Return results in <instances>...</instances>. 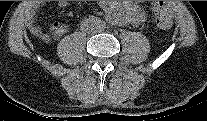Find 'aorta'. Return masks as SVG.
<instances>
[{"label": "aorta", "mask_w": 207, "mask_h": 121, "mask_svg": "<svg viewBox=\"0 0 207 121\" xmlns=\"http://www.w3.org/2000/svg\"><path fill=\"white\" fill-rule=\"evenodd\" d=\"M123 4L120 1H113L109 8L111 20L118 25H126L131 19L130 12L123 7Z\"/></svg>", "instance_id": "1"}]
</instances>
